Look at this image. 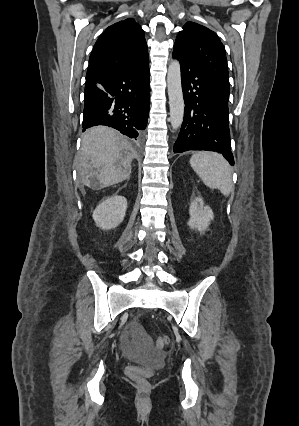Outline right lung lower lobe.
<instances>
[{"label": "right lung lower lobe", "instance_id": "1", "mask_svg": "<svg viewBox=\"0 0 299 426\" xmlns=\"http://www.w3.org/2000/svg\"><path fill=\"white\" fill-rule=\"evenodd\" d=\"M86 78L82 127L106 125L130 138L146 128L149 104V67Z\"/></svg>", "mask_w": 299, "mask_h": 426}]
</instances>
